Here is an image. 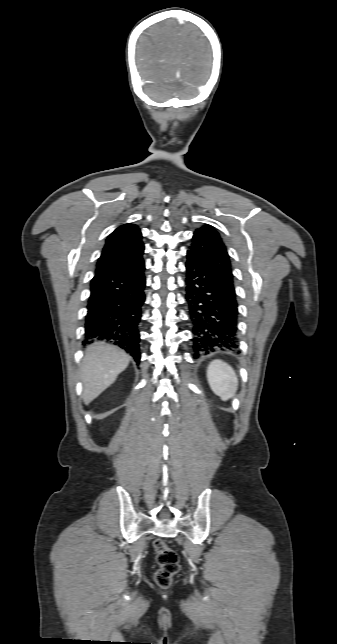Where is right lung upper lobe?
I'll list each match as a JSON object with an SVG mask.
<instances>
[{"instance_id":"obj_1","label":"right lung upper lobe","mask_w":337,"mask_h":644,"mask_svg":"<svg viewBox=\"0 0 337 644\" xmlns=\"http://www.w3.org/2000/svg\"><path fill=\"white\" fill-rule=\"evenodd\" d=\"M141 239V231L136 225L128 223L115 229L106 240L96 272L116 264L140 259L144 252Z\"/></svg>"}]
</instances>
